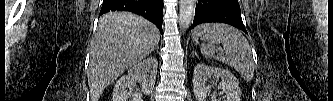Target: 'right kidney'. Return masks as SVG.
I'll use <instances>...</instances> for the list:
<instances>
[{"instance_id":"obj_1","label":"right kidney","mask_w":333,"mask_h":101,"mask_svg":"<svg viewBox=\"0 0 333 101\" xmlns=\"http://www.w3.org/2000/svg\"><path fill=\"white\" fill-rule=\"evenodd\" d=\"M158 61L155 57H149L141 63H138L130 68L128 74L121 77L113 91V101H143L141 93H131L127 88L136 85L137 80L142 83V92L150 94L153 90L156 74H157Z\"/></svg>"}]
</instances>
